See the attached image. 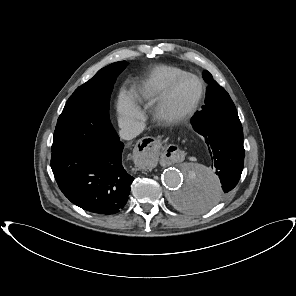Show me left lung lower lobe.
<instances>
[{
  "instance_id": "1",
  "label": "left lung lower lobe",
  "mask_w": 296,
  "mask_h": 296,
  "mask_svg": "<svg viewBox=\"0 0 296 296\" xmlns=\"http://www.w3.org/2000/svg\"><path fill=\"white\" fill-rule=\"evenodd\" d=\"M204 141L219 176L216 191L200 188L191 182L181 194V206L190 211H204L217 204L237 185L244 165L243 129L235 105L228 93L209 100L191 120Z\"/></svg>"
}]
</instances>
